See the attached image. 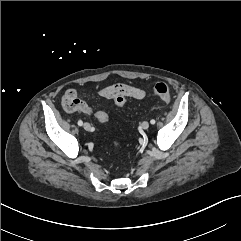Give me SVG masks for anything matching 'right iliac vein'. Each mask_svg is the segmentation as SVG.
Returning <instances> with one entry per match:
<instances>
[{
  "mask_svg": "<svg viewBox=\"0 0 241 241\" xmlns=\"http://www.w3.org/2000/svg\"><path fill=\"white\" fill-rule=\"evenodd\" d=\"M83 128L86 130V131H89L91 129V125L89 123H84L83 124Z\"/></svg>",
  "mask_w": 241,
  "mask_h": 241,
  "instance_id": "obj_1",
  "label": "right iliac vein"
}]
</instances>
